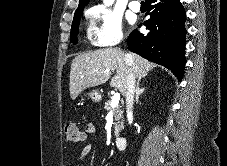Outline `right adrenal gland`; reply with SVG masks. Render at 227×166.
<instances>
[{
    "label": "right adrenal gland",
    "mask_w": 227,
    "mask_h": 166,
    "mask_svg": "<svg viewBox=\"0 0 227 166\" xmlns=\"http://www.w3.org/2000/svg\"><path fill=\"white\" fill-rule=\"evenodd\" d=\"M140 82H141V79H138L137 86H136V96H135L136 103L139 102V96L144 92V88H140Z\"/></svg>",
    "instance_id": "right-adrenal-gland-1"
}]
</instances>
